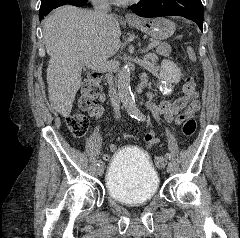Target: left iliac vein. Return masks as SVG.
Masks as SVG:
<instances>
[{"label":"left iliac vein","mask_w":240,"mask_h":238,"mask_svg":"<svg viewBox=\"0 0 240 238\" xmlns=\"http://www.w3.org/2000/svg\"><path fill=\"white\" fill-rule=\"evenodd\" d=\"M172 171H173V164L171 162H169L167 165V172L171 173Z\"/></svg>","instance_id":"left-iliac-vein-1"}]
</instances>
